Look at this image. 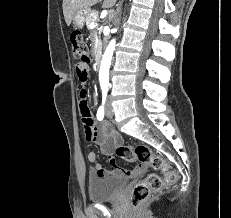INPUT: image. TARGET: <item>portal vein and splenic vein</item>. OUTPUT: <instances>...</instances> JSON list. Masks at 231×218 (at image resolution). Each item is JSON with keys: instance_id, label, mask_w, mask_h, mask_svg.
Returning a JSON list of instances; mask_svg holds the SVG:
<instances>
[{"instance_id": "18ae733b", "label": "portal vein and splenic vein", "mask_w": 231, "mask_h": 218, "mask_svg": "<svg viewBox=\"0 0 231 218\" xmlns=\"http://www.w3.org/2000/svg\"><path fill=\"white\" fill-rule=\"evenodd\" d=\"M97 26V24L95 23V22H92L91 24H90V28H95Z\"/></svg>"}]
</instances>
